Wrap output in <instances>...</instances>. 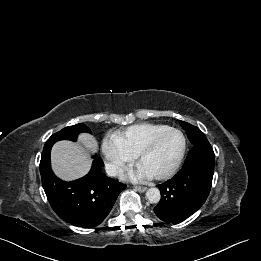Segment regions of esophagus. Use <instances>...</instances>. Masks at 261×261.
<instances>
[{
    "label": "esophagus",
    "mask_w": 261,
    "mask_h": 261,
    "mask_svg": "<svg viewBox=\"0 0 261 261\" xmlns=\"http://www.w3.org/2000/svg\"><path fill=\"white\" fill-rule=\"evenodd\" d=\"M146 189H147L146 187H141V186L135 187V190L138 192H144V191H146Z\"/></svg>",
    "instance_id": "esophagus-1"
}]
</instances>
